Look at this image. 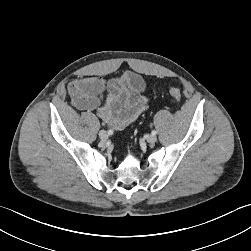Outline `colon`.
Here are the masks:
<instances>
[{"mask_svg":"<svg viewBox=\"0 0 251 251\" xmlns=\"http://www.w3.org/2000/svg\"><path fill=\"white\" fill-rule=\"evenodd\" d=\"M169 94L175 101H180L182 98L181 91L178 88L172 87L169 89Z\"/></svg>","mask_w":251,"mask_h":251,"instance_id":"colon-1","label":"colon"}]
</instances>
